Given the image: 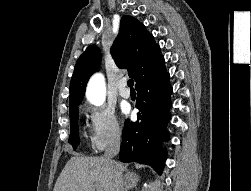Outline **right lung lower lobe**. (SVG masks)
Returning <instances> with one entry per match:
<instances>
[{
  "label": "right lung lower lobe",
  "mask_w": 251,
  "mask_h": 191,
  "mask_svg": "<svg viewBox=\"0 0 251 191\" xmlns=\"http://www.w3.org/2000/svg\"><path fill=\"white\" fill-rule=\"evenodd\" d=\"M136 90L138 119L136 122H125L119 157L123 162L150 165L161 174L166 160L161 142L169 140L166 126L171 119L169 73Z\"/></svg>",
  "instance_id": "obj_1"
}]
</instances>
